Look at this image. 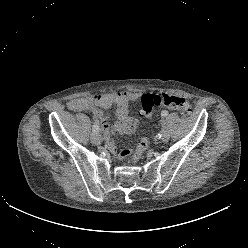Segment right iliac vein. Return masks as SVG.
<instances>
[{"instance_id":"right-iliac-vein-1","label":"right iliac vein","mask_w":248,"mask_h":248,"mask_svg":"<svg viewBox=\"0 0 248 248\" xmlns=\"http://www.w3.org/2000/svg\"><path fill=\"white\" fill-rule=\"evenodd\" d=\"M91 140L94 144L99 145L102 142L101 136L98 132H93L91 135Z\"/></svg>"}]
</instances>
